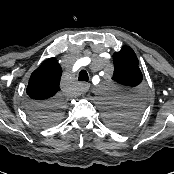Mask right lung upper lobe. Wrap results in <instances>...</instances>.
Segmentation results:
<instances>
[{
	"label": "right lung upper lobe",
	"mask_w": 174,
	"mask_h": 174,
	"mask_svg": "<svg viewBox=\"0 0 174 174\" xmlns=\"http://www.w3.org/2000/svg\"><path fill=\"white\" fill-rule=\"evenodd\" d=\"M62 69L52 57L45 60L31 75L27 94L33 103H45L59 98Z\"/></svg>",
	"instance_id": "right-lung-upper-lobe-1"
}]
</instances>
